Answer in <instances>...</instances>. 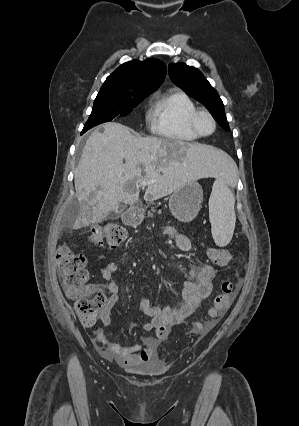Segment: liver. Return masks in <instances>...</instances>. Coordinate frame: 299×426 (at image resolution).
<instances>
[{"instance_id": "6515ba94", "label": "liver", "mask_w": 299, "mask_h": 426, "mask_svg": "<svg viewBox=\"0 0 299 426\" xmlns=\"http://www.w3.org/2000/svg\"><path fill=\"white\" fill-rule=\"evenodd\" d=\"M94 130L74 172L80 212L73 227L102 222L119 202L139 200L141 181H150L144 200L152 202L187 182L205 176L225 177L235 163L210 145L133 135L120 123Z\"/></svg>"}]
</instances>
